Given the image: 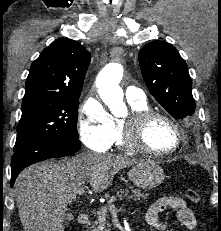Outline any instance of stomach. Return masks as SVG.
Here are the masks:
<instances>
[{
  "mask_svg": "<svg viewBox=\"0 0 221 231\" xmlns=\"http://www.w3.org/2000/svg\"><path fill=\"white\" fill-rule=\"evenodd\" d=\"M133 184L142 189H152L160 185L164 178L163 169L152 160L136 162L129 171Z\"/></svg>",
  "mask_w": 221,
  "mask_h": 231,
  "instance_id": "0dacf381",
  "label": "stomach"
}]
</instances>
